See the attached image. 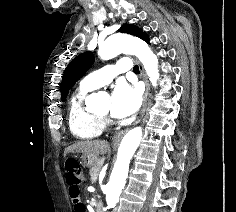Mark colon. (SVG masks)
<instances>
[{
	"mask_svg": "<svg viewBox=\"0 0 236 212\" xmlns=\"http://www.w3.org/2000/svg\"><path fill=\"white\" fill-rule=\"evenodd\" d=\"M66 182H69V176H72V179H80V184L84 181V172L76 160H68L66 162ZM79 184V185H80ZM80 205V204H79Z\"/></svg>",
	"mask_w": 236,
	"mask_h": 212,
	"instance_id": "5ec220e1",
	"label": "colon"
}]
</instances>
